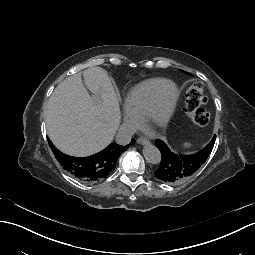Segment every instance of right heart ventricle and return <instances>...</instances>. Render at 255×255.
<instances>
[{
  "label": "right heart ventricle",
  "mask_w": 255,
  "mask_h": 255,
  "mask_svg": "<svg viewBox=\"0 0 255 255\" xmlns=\"http://www.w3.org/2000/svg\"><path fill=\"white\" fill-rule=\"evenodd\" d=\"M163 79H148L128 90L123 98L126 113L133 119H140L151 107Z\"/></svg>",
  "instance_id": "e07e8e85"
}]
</instances>
